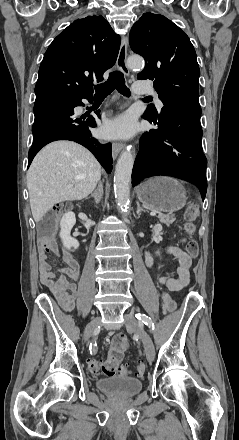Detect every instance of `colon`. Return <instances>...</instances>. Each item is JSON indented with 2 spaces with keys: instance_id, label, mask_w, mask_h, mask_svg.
<instances>
[{
  "instance_id": "colon-1",
  "label": "colon",
  "mask_w": 239,
  "mask_h": 440,
  "mask_svg": "<svg viewBox=\"0 0 239 440\" xmlns=\"http://www.w3.org/2000/svg\"><path fill=\"white\" fill-rule=\"evenodd\" d=\"M65 209L64 205H58L55 211L60 212ZM198 217V207L191 205L188 207L185 213V225L184 231L188 236H193L196 232V219ZM56 230V221L49 220L41 230L40 245L47 246L52 241V237ZM187 253L190 257L194 258L198 255V244L196 241L191 240L186 247ZM162 304L165 313H171L176 309L175 303L167 293L162 294ZM129 348V340L123 334L114 336L111 342L109 356L104 362H100L95 359L88 361V369L93 374H105L114 375L116 373H129L128 368L122 365V357L124 352ZM145 363L139 361L136 366L138 375H142L145 372Z\"/></svg>"
}]
</instances>
